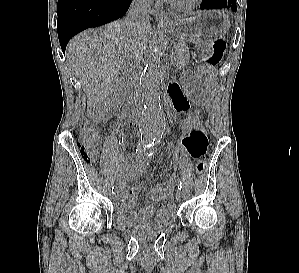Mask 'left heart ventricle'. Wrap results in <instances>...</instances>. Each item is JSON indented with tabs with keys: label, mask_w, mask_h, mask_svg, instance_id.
<instances>
[{
	"label": "left heart ventricle",
	"mask_w": 299,
	"mask_h": 273,
	"mask_svg": "<svg viewBox=\"0 0 299 273\" xmlns=\"http://www.w3.org/2000/svg\"><path fill=\"white\" fill-rule=\"evenodd\" d=\"M179 5H186L188 3H190L192 0H171Z\"/></svg>",
	"instance_id": "1"
}]
</instances>
